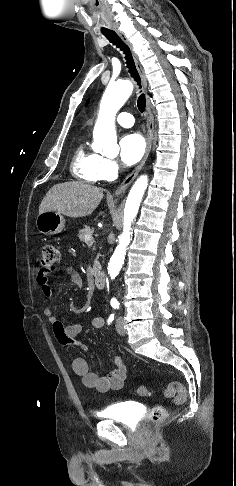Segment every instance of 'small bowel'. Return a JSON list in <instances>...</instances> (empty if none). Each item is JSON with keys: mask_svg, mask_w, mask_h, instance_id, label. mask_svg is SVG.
<instances>
[{"mask_svg": "<svg viewBox=\"0 0 236 486\" xmlns=\"http://www.w3.org/2000/svg\"><path fill=\"white\" fill-rule=\"evenodd\" d=\"M67 271L73 283L77 287L82 288L84 284L80 275L71 268H69ZM50 272L51 270L46 271L40 269L37 274V283L39 284L41 291L46 298H51L53 294L48 278ZM44 314L49 318L54 333L61 344H73L79 346L83 350H87L85 345L76 341V337L83 330L82 324L74 323L70 325H63L61 321L53 314L51 306H46L44 308ZM104 324L105 320L103 317H95L92 320V325L94 328H102ZM72 368L75 374L81 377L82 383L85 387L95 389L101 393L122 388L126 378V366L120 357H114L112 360L111 369L103 376H99L97 373L90 371L87 361L81 357H77L72 361Z\"/></svg>", "mask_w": 236, "mask_h": 486, "instance_id": "small-bowel-1", "label": "small bowel"}]
</instances>
